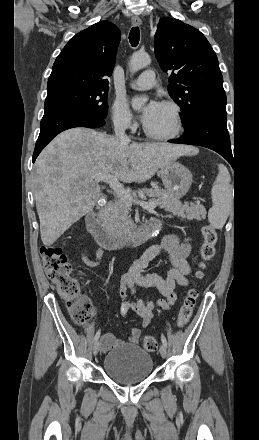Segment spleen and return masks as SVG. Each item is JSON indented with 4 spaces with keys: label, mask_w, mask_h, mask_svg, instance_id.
<instances>
[{
    "label": "spleen",
    "mask_w": 259,
    "mask_h": 440,
    "mask_svg": "<svg viewBox=\"0 0 259 440\" xmlns=\"http://www.w3.org/2000/svg\"><path fill=\"white\" fill-rule=\"evenodd\" d=\"M219 173L212 187L213 205L208 212V221L216 229H222L233 204L231 177L228 169L218 165Z\"/></svg>",
    "instance_id": "obj_1"
}]
</instances>
